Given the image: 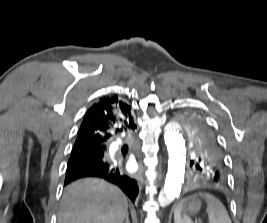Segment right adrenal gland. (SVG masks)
<instances>
[{
    "mask_svg": "<svg viewBox=\"0 0 267 223\" xmlns=\"http://www.w3.org/2000/svg\"><path fill=\"white\" fill-rule=\"evenodd\" d=\"M125 223H130V222H129V214L126 215Z\"/></svg>",
    "mask_w": 267,
    "mask_h": 223,
    "instance_id": "2a0ac1e0",
    "label": "right adrenal gland"
}]
</instances>
